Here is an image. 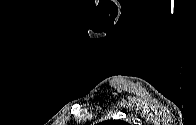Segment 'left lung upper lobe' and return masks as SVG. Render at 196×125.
I'll list each match as a JSON object with an SVG mask.
<instances>
[{"label": "left lung upper lobe", "mask_w": 196, "mask_h": 125, "mask_svg": "<svg viewBox=\"0 0 196 125\" xmlns=\"http://www.w3.org/2000/svg\"><path fill=\"white\" fill-rule=\"evenodd\" d=\"M104 125H126V123L119 120H108L104 122Z\"/></svg>", "instance_id": "5c2ea615"}]
</instances>
